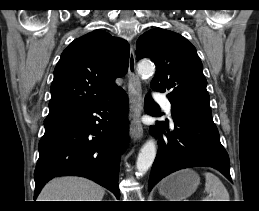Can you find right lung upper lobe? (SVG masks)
<instances>
[{"instance_id":"cb5924a9","label":"right lung upper lobe","mask_w":259,"mask_h":211,"mask_svg":"<svg viewBox=\"0 0 259 211\" xmlns=\"http://www.w3.org/2000/svg\"><path fill=\"white\" fill-rule=\"evenodd\" d=\"M128 61V43L103 30L74 40L55 67L48 116L85 109L121 93L115 79L126 74Z\"/></svg>"}]
</instances>
